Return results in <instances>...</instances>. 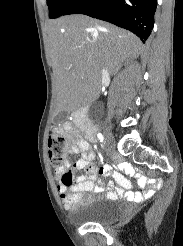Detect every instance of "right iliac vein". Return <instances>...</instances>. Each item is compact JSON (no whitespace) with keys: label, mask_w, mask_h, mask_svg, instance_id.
I'll list each match as a JSON object with an SVG mask.
<instances>
[{"label":"right iliac vein","mask_w":183,"mask_h":246,"mask_svg":"<svg viewBox=\"0 0 183 246\" xmlns=\"http://www.w3.org/2000/svg\"><path fill=\"white\" fill-rule=\"evenodd\" d=\"M103 132H104V137H105L108 148H112L113 138H112V134H111L110 130L108 129V127L104 126Z\"/></svg>","instance_id":"obj_1"}]
</instances>
